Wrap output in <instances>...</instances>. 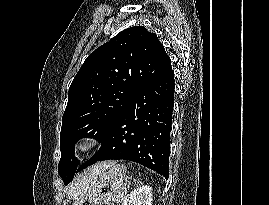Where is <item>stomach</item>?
<instances>
[{
    "label": "stomach",
    "instance_id": "stomach-1",
    "mask_svg": "<svg viewBox=\"0 0 269 205\" xmlns=\"http://www.w3.org/2000/svg\"><path fill=\"white\" fill-rule=\"evenodd\" d=\"M126 167L114 164L97 176L92 188L72 205H113L122 199Z\"/></svg>",
    "mask_w": 269,
    "mask_h": 205
}]
</instances>
